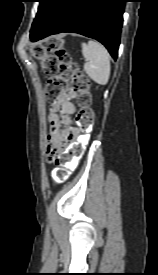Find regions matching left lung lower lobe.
<instances>
[{
  "mask_svg": "<svg viewBox=\"0 0 158 275\" xmlns=\"http://www.w3.org/2000/svg\"><path fill=\"white\" fill-rule=\"evenodd\" d=\"M126 0H56L44 23L30 34L32 42L73 32L101 42L116 59Z\"/></svg>",
  "mask_w": 158,
  "mask_h": 275,
  "instance_id": "obj_1",
  "label": "left lung lower lobe"
}]
</instances>
